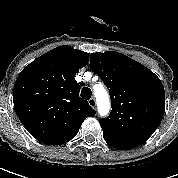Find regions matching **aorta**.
Listing matches in <instances>:
<instances>
[{
	"mask_svg": "<svg viewBox=\"0 0 178 178\" xmlns=\"http://www.w3.org/2000/svg\"><path fill=\"white\" fill-rule=\"evenodd\" d=\"M94 92L97 101L98 112L101 116H106L110 110L109 95L102 85L99 87L96 85L94 87Z\"/></svg>",
	"mask_w": 178,
	"mask_h": 178,
	"instance_id": "762f6f07",
	"label": "aorta"
}]
</instances>
